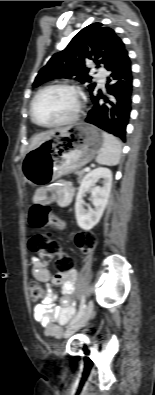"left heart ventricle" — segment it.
<instances>
[{"label":"left heart ventricle","mask_w":155,"mask_h":395,"mask_svg":"<svg viewBox=\"0 0 155 395\" xmlns=\"http://www.w3.org/2000/svg\"><path fill=\"white\" fill-rule=\"evenodd\" d=\"M76 107L74 93L55 88L43 92L34 105V115L43 124L55 123L68 118Z\"/></svg>","instance_id":"b2bd125f"}]
</instances>
